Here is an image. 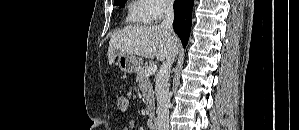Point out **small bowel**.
Instances as JSON below:
<instances>
[{
  "label": "small bowel",
  "instance_id": "1",
  "mask_svg": "<svg viewBox=\"0 0 299 130\" xmlns=\"http://www.w3.org/2000/svg\"><path fill=\"white\" fill-rule=\"evenodd\" d=\"M135 128V121L131 120L122 130H132Z\"/></svg>",
  "mask_w": 299,
  "mask_h": 130
}]
</instances>
